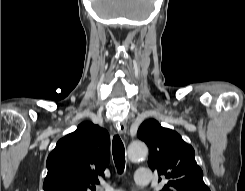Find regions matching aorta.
<instances>
[{
  "mask_svg": "<svg viewBox=\"0 0 245 191\" xmlns=\"http://www.w3.org/2000/svg\"><path fill=\"white\" fill-rule=\"evenodd\" d=\"M148 154V148L145 143L141 141H134L128 146V158L132 162L143 159Z\"/></svg>",
  "mask_w": 245,
  "mask_h": 191,
  "instance_id": "762f6f07",
  "label": "aorta"
}]
</instances>
